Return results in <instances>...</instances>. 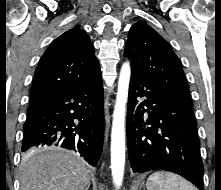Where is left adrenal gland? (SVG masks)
<instances>
[{"label":"left adrenal gland","instance_id":"a2214340","mask_svg":"<svg viewBox=\"0 0 221 190\" xmlns=\"http://www.w3.org/2000/svg\"><path fill=\"white\" fill-rule=\"evenodd\" d=\"M141 187H143V190H145L144 183H142V184L140 185V189H141Z\"/></svg>","mask_w":221,"mask_h":190}]
</instances>
